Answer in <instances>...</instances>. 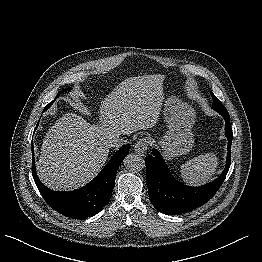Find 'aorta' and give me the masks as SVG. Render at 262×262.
I'll use <instances>...</instances> for the list:
<instances>
[{"mask_svg": "<svg viewBox=\"0 0 262 262\" xmlns=\"http://www.w3.org/2000/svg\"><path fill=\"white\" fill-rule=\"evenodd\" d=\"M124 166L130 171H138L144 168V160L136 154H128L124 159Z\"/></svg>", "mask_w": 262, "mask_h": 262, "instance_id": "1", "label": "aorta"}]
</instances>
